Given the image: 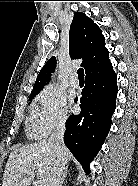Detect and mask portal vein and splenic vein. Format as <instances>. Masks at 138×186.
Segmentation results:
<instances>
[{
  "label": "portal vein and splenic vein",
  "instance_id": "obj_1",
  "mask_svg": "<svg viewBox=\"0 0 138 186\" xmlns=\"http://www.w3.org/2000/svg\"><path fill=\"white\" fill-rule=\"evenodd\" d=\"M36 186H44L43 183L41 181H37L36 182Z\"/></svg>",
  "mask_w": 138,
  "mask_h": 186
}]
</instances>
